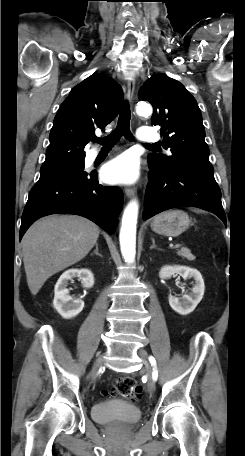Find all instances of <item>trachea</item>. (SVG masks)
<instances>
[{"instance_id":"1","label":"trachea","mask_w":245,"mask_h":456,"mask_svg":"<svg viewBox=\"0 0 245 456\" xmlns=\"http://www.w3.org/2000/svg\"><path fill=\"white\" fill-rule=\"evenodd\" d=\"M130 119H131V111L129 104L125 102L120 110L119 119L116 128L114 131L103 139H99L97 137L93 138V142H99L104 147L113 146L116 144L122 136L126 139L132 141L133 135L130 132Z\"/></svg>"}]
</instances>
